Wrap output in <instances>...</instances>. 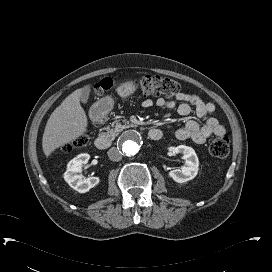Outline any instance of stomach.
I'll use <instances>...</instances> for the list:
<instances>
[{
  "instance_id": "obj_1",
  "label": "stomach",
  "mask_w": 272,
  "mask_h": 272,
  "mask_svg": "<svg viewBox=\"0 0 272 272\" xmlns=\"http://www.w3.org/2000/svg\"><path fill=\"white\" fill-rule=\"evenodd\" d=\"M136 90L137 86L135 83L131 80H128L118 86L116 91L120 97L127 98L134 94ZM101 104L105 106L107 111H110L113 108V100L109 97L102 99Z\"/></svg>"
}]
</instances>
